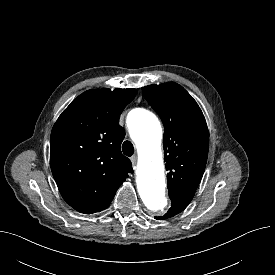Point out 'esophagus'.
Instances as JSON below:
<instances>
[{
    "label": "esophagus",
    "mask_w": 275,
    "mask_h": 275,
    "mask_svg": "<svg viewBox=\"0 0 275 275\" xmlns=\"http://www.w3.org/2000/svg\"><path fill=\"white\" fill-rule=\"evenodd\" d=\"M133 166L135 167L136 166V163H137V156L136 155H133L131 158H130Z\"/></svg>",
    "instance_id": "34e87169"
}]
</instances>
